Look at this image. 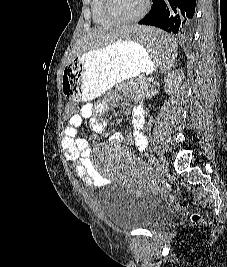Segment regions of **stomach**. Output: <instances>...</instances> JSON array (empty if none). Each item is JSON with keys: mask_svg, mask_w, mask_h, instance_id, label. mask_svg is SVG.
<instances>
[{"mask_svg": "<svg viewBox=\"0 0 227 267\" xmlns=\"http://www.w3.org/2000/svg\"><path fill=\"white\" fill-rule=\"evenodd\" d=\"M155 64L146 47L119 39L75 57L58 83L67 101H90L117 83L151 73Z\"/></svg>", "mask_w": 227, "mask_h": 267, "instance_id": "1", "label": "stomach"}]
</instances>
